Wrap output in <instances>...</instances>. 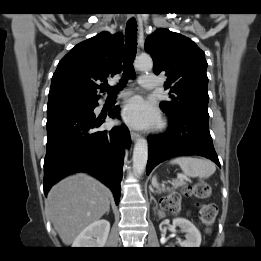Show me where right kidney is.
<instances>
[{
	"instance_id": "ca27d5eb",
	"label": "right kidney",
	"mask_w": 261,
	"mask_h": 261,
	"mask_svg": "<svg viewBox=\"0 0 261 261\" xmlns=\"http://www.w3.org/2000/svg\"><path fill=\"white\" fill-rule=\"evenodd\" d=\"M110 231L107 220H98L88 225L74 240L73 248H102Z\"/></svg>"
}]
</instances>
